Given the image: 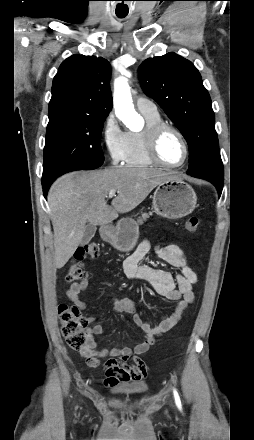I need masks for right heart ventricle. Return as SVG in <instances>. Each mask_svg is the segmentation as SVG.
Wrapping results in <instances>:
<instances>
[{"label":"right heart ventricle","mask_w":254,"mask_h":440,"mask_svg":"<svg viewBox=\"0 0 254 440\" xmlns=\"http://www.w3.org/2000/svg\"><path fill=\"white\" fill-rule=\"evenodd\" d=\"M142 114L146 120L145 129L138 132H128V145L124 159V164L128 167L144 168L156 166V164L149 158L146 151V130L163 121L159 113Z\"/></svg>","instance_id":"e07e8e85"}]
</instances>
